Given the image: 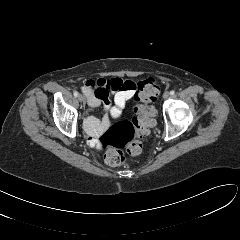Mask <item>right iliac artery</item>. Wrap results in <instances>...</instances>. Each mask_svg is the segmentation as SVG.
<instances>
[{
    "label": "right iliac artery",
    "instance_id": "82829eb1",
    "mask_svg": "<svg viewBox=\"0 0 240 240\" xmlns=\"http://www.w3.org/2000/svg\"><path fill=\"white\" fill-rule=\"evenodd\" d=\"M73 94H74L75 97H78V92L77 91H75Z\"/></svg>",
    "mask_w": 240,
    "mask_h": 240
}]
</instances>
